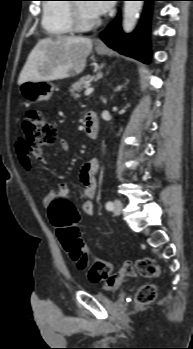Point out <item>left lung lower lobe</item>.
I'll return each instance as SVG.
<instances>
[{"instance_id":"obj_1","label":"left lung lower lobe","mask_w":193,"mask_h":349,"mask_svg":"<svg viewBox=\"0 0 193 349\" xmlns=\"http://www.w3.org/2000/svg\"><path fill=\"white\" fill-rule=\"evenodd\" d=\"M146 1L145 12L141 23L133 34L125 35L120 25V15L117 16L113 24H110L106 31L102 33V40L112 49L122 54L136 58L142 62L149 63L150 49L148 41V31L150 24V7L152 1Z\"/></svg>"}]
</instances>
